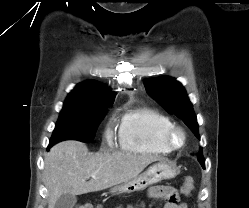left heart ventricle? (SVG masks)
<instances>
[{"mask_svg": "<svg viewBox=\"0 0 249 208\" xmlns=\"http://www.w3.org/2000/svg\"><path fill=\"white\" fill-rule=\"evenodd\" d=\"M181 140L180 136L176 137V141L179 142Z\"/></svg>", "mask_w": 249, "mask_h": 208, "instance_id": "obj_1", "label": "left heart ventricle"}]
</instances>
